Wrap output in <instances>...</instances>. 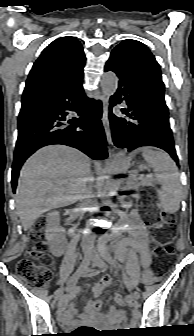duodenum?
<instances>
[{"label":"duodenum","mask_w":194,"mask_h":336,"mask_svg":"<svg viewBox=\"0 0 194 336\" xmlns=\"http://www.w3.org/2000/svg\"><path fill=\"white\" fill-rule=\"evenodd\" d=\"M67 222H68L69 225H71V219L70 218L67 220Z\"/></svg>","instance_id":"obj_1"}]
</instances>
